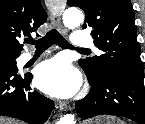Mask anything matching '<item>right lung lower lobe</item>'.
I'll list each match as a JSON object with an SVG mask.
<instances>
[{"instance_id": "98d812e1", "label": "right lung lower lobe", "mask_w": 145, "mask_h": 124, "mask_svg": "<svg viewBox=\"0 0 145 124\" xmlns=\"http://www.w3.org/2000/svg\"><path fill=\"white\" fill-rule=\"evenodd\" d=\"M32 75L18 74L16 62H0V115L43 124L54 103L30 88Z\"/></svg>"}]
</instances>
